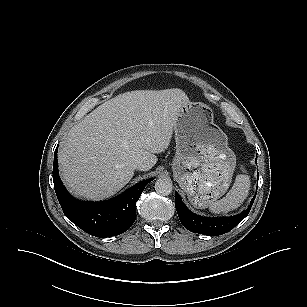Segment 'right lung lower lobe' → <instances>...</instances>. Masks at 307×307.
Returning a JSON list of instances; mask_svg holds the SVG:
<instances>
[{
	"label": "right lung lower lobe",
	"instance_id": "98d812e1",
	"mask_svg": "<svg viewBox=\"0 0 307 307\" xmlns=\"http://www.w3.org/2000/svg\"><path fill=\"white\" fill-rule=\"evenodd\" d=\"M57 148L54 153V188L66 217L83 231L96 237H111L127 231L135 221V204L145 186L146 179L121 195L104 202H84L73 198L58 175Z\"/></svg>",
	"mask_w": 307,
	"mask_h": 307
}]
</instances>
